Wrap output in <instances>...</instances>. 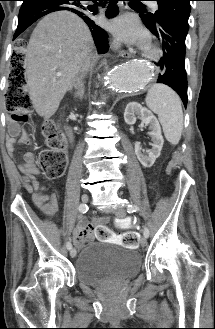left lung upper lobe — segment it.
<instances>
[{
    "label": "left lung upper lobe",
    "instance_id": "left-lung-upper-lobe-1",
    "mask_svg": "<svg viewBox=\"0 0 215 329\" xmlns=\"http://www.w3.org/2000/svg\"><path fill=\"white\" fill-rule=\"evenodd\" d=\"M158 10L155 14H141L146 26L156 27L161 21H170L188 32V19L190 15V1L192 0H155Z\"/></svg>",
    "mask_w": 215,
    "mask_h": 329
}]
</instances>
